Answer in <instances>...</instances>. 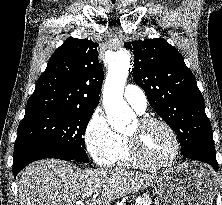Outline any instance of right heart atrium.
<instances>
[{"label":"right heart atrium","instance_id":"obj_1","mask_svg":"<svg viewBox=\"0 0 222 205\" xmlns=\"http://www.w3.org/2000/svg\"><path fill=\"white\" fill-rule=\"evenodd\" d=\"M120 135L111 127L104 113L96 110L88 121L84 140L86 147L99 165H109L119 145Z\"/></svg>","mask_w":222,"mask_h":205}]
</instances>
